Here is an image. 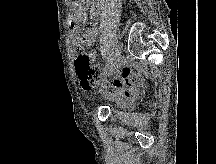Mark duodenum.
Returning a JSON list of instances; mask_svg holds the SVG:
<instances>
[{"label":"duodenum","mask_w":216,"mask_h":164,"mask_svg":"<svg viewBox=\"0 0 216 164\" xmlns=\"http://www.w3.org/2000/svg\"><path fill=\"white\" fill-rule=\"evenodd\" d=\"M104 0H93L92 2V12L98 15L103 7Z\"/></svg>","instance_id":"410a0bca"}]
</instances>
